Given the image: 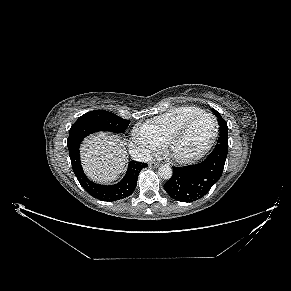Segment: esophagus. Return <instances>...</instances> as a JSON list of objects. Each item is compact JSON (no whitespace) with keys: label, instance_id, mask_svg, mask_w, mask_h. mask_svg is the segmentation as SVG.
Returning <instances> with one entry per match:
<instances>
[{"label":"esophagus","instance_id":"34e87169","mask_svg":"<svg viewBox=\"0 0 291 291\" xmlns=\"http://www.w3.org/2000/svg\"><path fill=\"white\" fill-rule=\"evenodd\" d=\"M149 167H151V168H156V167H158L159 166V163H157V162H154V161H151V162H149Z\"/></svg>","mask_w":291,"mask_h":291}]
</instances>
